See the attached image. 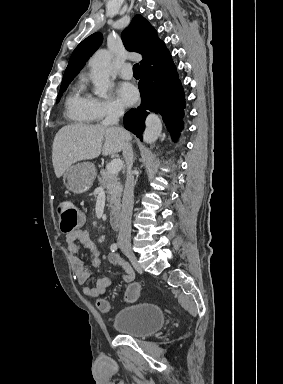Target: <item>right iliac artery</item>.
Listing matches in <instances>:
<instances>
[{"label":"right iliac artery","instance_id":"82829eb1","mask_svg":"<svg viewBox=\"0 0 283 384\" xmlns=\"http://www.w3.org/2000/svg\"><path fill=\"white\" fill-rule=\"evenodd\" d=\"M117 248H118V246H117L116 243H113V244L111 245V247H110V249H111L112 252H115V251L117 250Z\"/></svg>","mask_w":283,"mask_h":384}]
</instances>
